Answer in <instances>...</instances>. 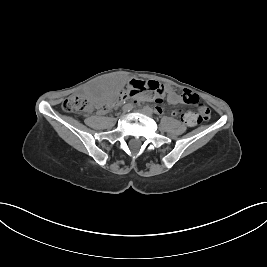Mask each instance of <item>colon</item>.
I'll return each instance as SVG.
<instances>
[{"mask_svg":"<svg viewBox=\"0 0 267 267\" xmlns=\"http://www.w3.org/2000/svg\"><path fill=\"white\" fill-rule=\"evenodd\" d=\"M165 94L166 88L156 81L132 80L126 89L120 90L112 96L105 104V107L109 108L120 100L136 97H142L144 100L160 103L163 101ZM181 95L183 102L197 104L198 112L195 113V116L198 122L206 121L210 118L209 109L205 104L199 103V98L196 94L190 90H184ZM62 108L68 113H84L90 110L91 103L84 95L73 94L64 100Z\"/></svg>","mask_w":267,"mask_h":267,"instance_id":"5ec220e1","label":"colon"}]
</instances>
